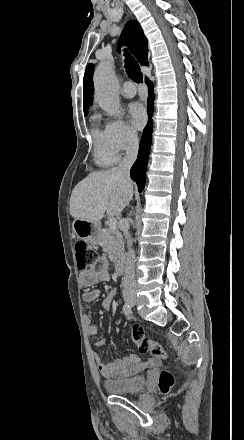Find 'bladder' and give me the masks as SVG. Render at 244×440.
Masks as SVG:
<instances>
[{"instance_id": "31cf9c89", "label": "bladder", "mask_w": 244, "mask_h": 440, "mask_svg": "<svg viewBox=\"0 0 244 440\" xmlns=\"http://www.w3.org/2000/svg\"><path fill=\"white\" fill-rule=\"evenodd\" d=\"M145 387V377H133L123 381H107L105 388L108 393H127L135 392Z\"/></svg>"}]
</instances>
